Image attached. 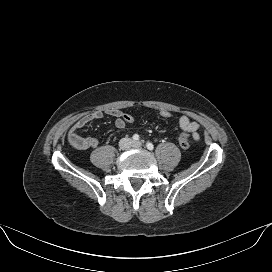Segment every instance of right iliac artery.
I'll return each instance as SVG.
<instances>
[{
	"instance_id": "1",
	"label": "right iliac artery",
	"mask_w": 272,
	"mask_h": 272,
	"mask_svg": "<svg viewBox=\"0 0 272 272\" xmlns=\"http://www.w3.org/2000/svg\"><path fill=\"white\" fill-rule=\"evenodd\" d=\"M133 140H134V141L139 140V135H138V134H134V135H133Z\"/></svg>"
}]
</instances>
